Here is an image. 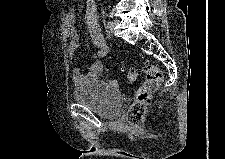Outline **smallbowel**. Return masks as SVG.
<instances>
[{
    "label": "small bowel",
    "mask_w": 225,
    "mask_h": 159,
    "mask_svg": "<svg viewBox=\"0 0 225 159\" xmlns=\"http://www.w3.org/2000/svg\"><path fill=\"white\" fill-rule=\"evenodd\" d=\"M97 7L94 0H87L85 7V28L91 38L96 51L92 54L93 61L88 65L87 71L82 73L79 69L72 70V81L76 85H82L99 78L103 74V64L99 61L109 53L107 44L97 20ZM65 33L70 39L68 55L73 58L80 44L79 34L76 28V12L70 9L65 18Z\"/></svg>",
    "instance_id": "1"
}]
</instances>
